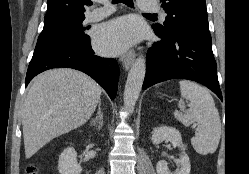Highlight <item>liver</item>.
<instances>
[{"instance_id": "6515ba94", "label": "liver", "mask_w": 249, "mask_h": 174, "mask_svg": "<svg viewBox=\"0 0 249 174\" xmlns=\"http://www.w3.org/2000/svg\"><path fill=\"white\" fill-rule=\"evenodd\" d=\"M101 93L93 79L74 69H53L39 75L21 113L26 159L52 139L84 125Z\"/></svg>"}]
</instances>
